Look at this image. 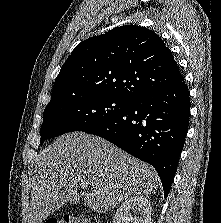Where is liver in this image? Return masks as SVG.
Listing matches in <instances>:
<instances>
[{"instance_id":"obj_1","label":"liver","mask_w":221,"mask_h":223,"mask_svg":"<svg viewBox=\"0 0 221 223\" xmlns=\"http://www.w3.org/2000/svg\"><path fill=\"white\" fill-rule=\"evenodd\" d=\"M81 182L92 187L83 205L104 213L132 196L155 192L158 175L147 163L98 136L64 134L37 156L28 223H42L75 196Z\"/></svg>"}]
</instances>
